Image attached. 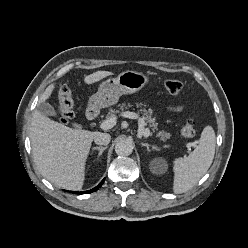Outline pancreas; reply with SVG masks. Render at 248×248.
Instances as JSON below:
<instances>
[{"label": "pancreas", "mask_w": 248, "mask_h": 248, "mask_svg": "<svg viewBox=\"0 0 248 248\" xmlns=\"http://www.w3.org/2000/svg\"><path fill=\"white\" fill-rule=\"evenodd\" d=\"M124 109H127L126 104L118 105V109H109V112L106 118L109 119L112 117H116V114L119 113L120 110L123 111ZM141 112L143 114L142 120L144 121V124L149 123V127L151 128L153 132H155V130H157V123H156V118L152 117V114H153L152 109L149 108L148 110H146L145 108H143L141 109ZM156 136L159 137L163 141L170 138V134L167 133L166 131H159L156 134Z\"/></svg>", "instance_id": "pancreas-1"}]
</instances>
